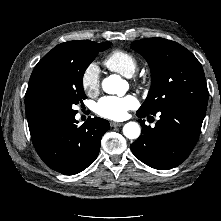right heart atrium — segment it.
Listing matches in <instances>:
<instances>
[{
	"instance_id": "right-heart-atrium-1",
	"label": "right heart atrium",
	"mask_w": 221,
	"mask_h": 221,
	"mask_svg": "<svg viewBox=\"0 0 221 221\" xmlns=\"http://www.w3.org/2000/svg\"><path fill=\"white\" fill-rule=\"evenodd\" d=\"M81 86L88 96H95L100 90V68L96 63H90L81 75Z\"/></svg>"
}]
</instances>
